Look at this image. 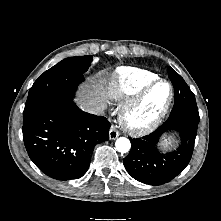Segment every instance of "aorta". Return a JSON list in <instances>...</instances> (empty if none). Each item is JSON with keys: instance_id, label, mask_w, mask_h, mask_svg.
<instances>
[{"instance_id": "obj_1", "label": "aorta", "mask_w": 221, "mask_h": 221, "mask_svg": "<svg viewBox=\"0 0 221 221\" xmlns=\"http://www.w3.org/2000/svg\"><path fill=\"white\" fill-rule=\"evenodd\" d=\"M115 146H116V150L118 152L126 153L130 150L131 143H130L129 139H127L125 137H120L116 140Z\"/></svg>"}]
</instances>
